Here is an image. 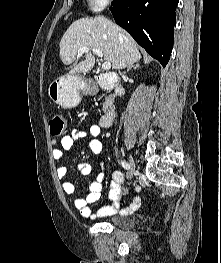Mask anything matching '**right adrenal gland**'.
<instances>
[{
    "instance_id": "2a0ac1e0",
    "label": "right adrenal gland",
    "mask_w": 221,
    "mask_h": 263,
    "mask_svg": "<svg viewBox=\"0 0 221 263\" xmlns=\"http://www.w3.org/2000/svg\"><path fill=\"white\" fill-rule=\"evenodd\" d=\"M138 68H139V64L136 63V64H134L132 66L127 67L126 71H124L123 73L125 74L126 72H128L131 69H138Z\"/></svg>"
}]
</instances>
